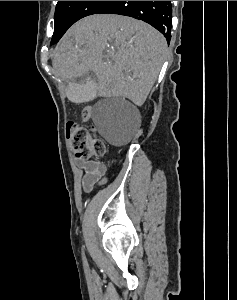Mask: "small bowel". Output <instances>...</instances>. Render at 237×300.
Wrapping results in <instances>:
<instances>
[{
    "mask_svg": "<svg viewBox=\"0 0 237 300\" xmlns=\"http://www.w3.org/2000/svg\"><path fill=\"white\" fill-rule=\"evenodd\" d=\"M91 111V107H85L82 111V119L85 121L89 120L91 118ZM76 164L83 172L82 188L84 192H90L95 186L106 182L107 169L101 162L77 158Z\"/></svg>",
    "mask_w": 237,
    "mask_h": 300,
    "instance_id": "small-bowel-1",
    "label": "small bowel"
}]
</instances>
